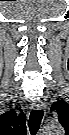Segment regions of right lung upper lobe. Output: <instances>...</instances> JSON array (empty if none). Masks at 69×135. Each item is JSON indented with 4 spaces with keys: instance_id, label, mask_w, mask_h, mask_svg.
Instances as JSON below:
<instances>
[{
    "instance_id": "right-lung-upper-lobe-1",
    "label": "right lung upper lobe",
    "mask_w": 69,
    "mask_h": 135,
    "mask_svg": "<svg viewBox=\"0 0 69 135\" xmlns=\"http://www.w3.org/2000/svg\"><path fill=\"white\" fill-rule=\"evenodd\" d=\"M18 110H20L18 108ZM19 116H16V112L11 110L7 111L0 116V125L2 129L9 130L10 133H16L17 135H24L25 130V115L20 110ZM8 132V131H7Z\"/></svg>"
}]
</instances>
